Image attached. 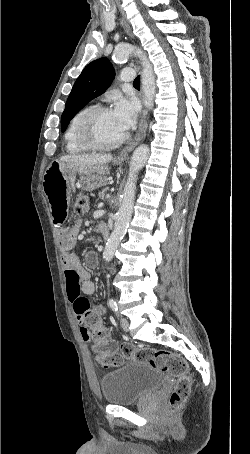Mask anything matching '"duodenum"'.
I'll return each instance as SVG.
<instances>
[{
    "mask_svg": "<svg viewBox=\"0 0 250 454\" xmlns=\"http://www.w3.org/2000/svg\"><path fill=\"white\" fill-rule=\"evenodd\" d=\"M100 233L102 234V236H103L105 239H107L108 236H109V230H108V228H106V226H104V225H101V226H100Z\"/></svg>",
    "mask_w": 250,
    "mask_h": 454,
    "instance_id": "1",
    "label": "duodenum"
}]
</instances>
